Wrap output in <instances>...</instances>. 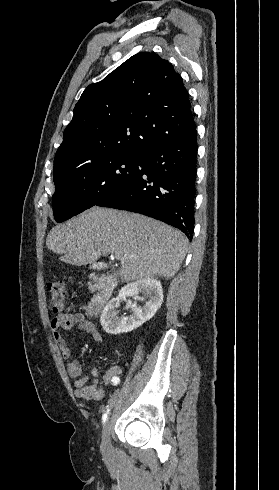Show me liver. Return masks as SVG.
<instances>
[{"label": "liver", "instance_id": "1", "mask_svg": "<svg viewBox=\"0 0 279 490\" xmlns=\"http://www.w3.org/2000/svg\"><path fill=\"white\" fill-rule=\"evenodd\" d=\"M46 248L64 254L61 262L71 266L96 264L101 256L114 254L121 262V282H138L154 276L171 280L186 256L188 240L159 220L93 206L52 228Z\"/></svg>", "mask_w": 279, "mask_h": 490}]
</instances>
